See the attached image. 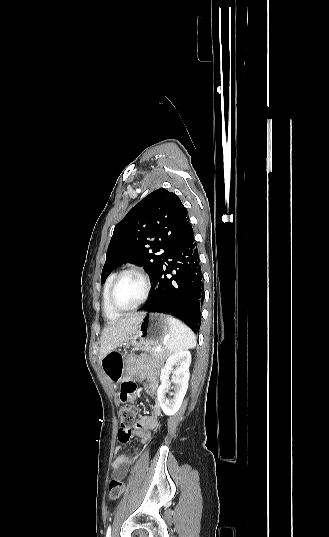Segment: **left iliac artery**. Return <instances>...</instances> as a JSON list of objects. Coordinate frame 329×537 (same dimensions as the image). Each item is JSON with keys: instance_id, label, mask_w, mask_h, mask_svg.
Wrapping results in <instances>:
<instances>
[{"instance_id": "44dca946", "label": "left iliac artery", "mask_w": 329, "mask_h": 537, "mask_svg": "<svg viewBox=\"0 0 329 537\" xmlns=\"http://www.w3.org/2000/svg\"><path fill=\"white\" fill-rule=\"evenodd\" d=\"M106 537H111V525H109V527L107 529Z\"/></svg>"}]
</instances>
